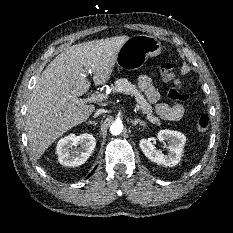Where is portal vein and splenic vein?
<instances>
[{
  "label": "portal vein and splenic vein",
  "mask_w": 233,
  "mask_h": 233,
  "mask_svg": "<svg viewBox=\"0 0 233 233\" xmlns=\"http://www.w3.org/2000/svg\"><path fill=\"white\" fill-rule=\"evenodd\" d=\"M107 98H108V95H106V94H95V93H93V94H91L89 97H87L85 99L74 98L73 101L75 103H80V102H82V103L101 102V101H103V100H105ZM134 105H135V108L137 110H139V105L137 103H134Z\"/></svg>",
  "instance_id": "18ae733b"
}]
</instances>
